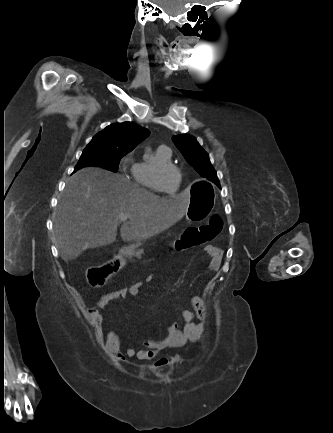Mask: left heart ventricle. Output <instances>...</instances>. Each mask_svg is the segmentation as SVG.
<instances>
[{"instance_id":"b2bd125f","label":"left heart ventricle","mask_w":333,"mask_h":433,"mask_svg":"<svg viewBox=\"0 0 333 433\" xmlns=\"http://www.w3.org/2000/svg\"><path fill=\"white\" fill-rule=\"evenodd\" d=\"M162 183L164 188L168 192H174L178 184V175L174 170H167L162 177Z\"/></svg>"}]
</instances>
